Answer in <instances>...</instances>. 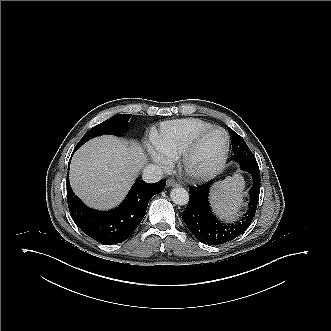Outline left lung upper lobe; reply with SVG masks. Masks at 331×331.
I'll list each match as a JSON object with an SVG mask.
<instances>
[{"mask_svg":"<svg viewBox=\"0 0 331 331\" xmlns=\"http://www.w3.org/2000/svg\"><path fill=\"white\" fill-rule=\"evenodd\" d=\"M230 138H233L236 140L239 148L232 150L235 152L233 156L230 157V160H235L239 163L246 164V165H252V166H258L257 161L248 148L247 144L245 141L237 134L235 133L232 129L228 128Z\"/></svg>","mask_w":331,"mask_h":331,"instance_id":"5c2ea615","label":"left lung upper lobe"}]
</instances>
